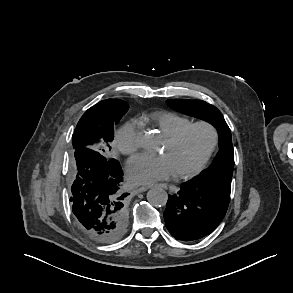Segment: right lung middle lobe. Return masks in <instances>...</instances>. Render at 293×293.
I'll list each match as a JSON object with an SVG mask.
<instances>
[{
	"label": "right lung middle lobe",
	"mask_w": 293,
	"mask_h": 293,
	"mask_svg": "<svg viewBox=\"0 0 293 293\" xmlns=\"http://www.w3.org/2000/svg\"><path fill=\"white\" fill-rule=\"evenodd\" d=\"M128 108L127 103L118 99L103 100L92 106L84 113L76 126L72 139L73 149L91 147L100 140L112 141L114 125ZM109 149H111L110 146Z\"/></svg>",
	"instance_id": "1"
}]
</instances>
